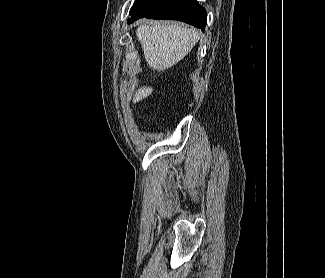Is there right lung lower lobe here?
I'll list each match as a JSON object with an SVG mask.
<instances>
[{
	"mask_svg": "<svg viewBox=\"0 0 325 278\" xmlns=\"http://www.w3.org/2000/svg\"><path fill=\"white\" fill-rule=\"evenodd\" d=\"M178 20L204 31L206 10L197 0H136L128 24L140 18Z\"/></svg>",
	"mask_w": 325,
	"mask_h": 278,
	"instance_id": "1",
	"label": "right lung lower lobe"
}]
</instances>
